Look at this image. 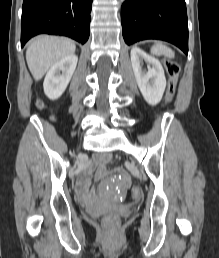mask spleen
I'll return each mask as SVG.
<instances>
[{
	"label": "spleen",
	"instance_id": "spleen-1",
	"mask_svg": "<svg viewBox=\"0 0 219 258\" xmlns=\"http://www.w3.org/2000/svg\"><path fill=\"white\" fill-rule=\"evenodd\" d=\"M151 53L156 56L163 55L168 58H174L175 56L174 51L162 43H156L152 46Z\"/></svg>",
	"mask_w": 219,
	"mask_h": 258
}]
</instances>
